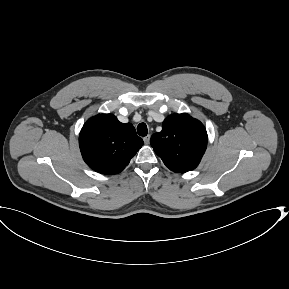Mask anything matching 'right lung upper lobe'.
Here are the masks:
<instances>
[{
  "instance_id": "cb5924a9",
  "label": "right lung upper lobe",
  "mask_w": 289,
  "mask_h": 289,
  "mask_svg": "<svg viewBox=\"0 0 289 289\" xmlns=\"http://www.w3.org/2000/svg\"><path fill=\"white\" fill-rule=\"evenodd\" d=\"M132 124L121 123L112 114H99L82 127L79 146L84 161L94 171L120 173L142 147Z\"/></svg>"
}]
</instances>
